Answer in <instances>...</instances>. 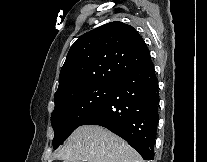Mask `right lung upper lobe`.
<instances>
[{"label":"right lung upper lobe","mask_w":207,"mask_h":162,"mask_svg":"<svg viewBox=\"0 0 207 162\" xmlns=\"http://www.w3.org/2000/svg\"><path fill=\"white\" fill-rule=\"evenodd\" d=\"M150 61L143 38L132 26L118 21L107 23L81 35L71 46L55 98L94 85L115 84Z\"/></svg>","instance_id":"cb5924a9"}]
</instances>
